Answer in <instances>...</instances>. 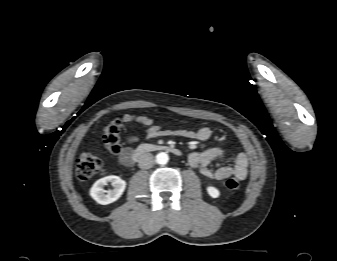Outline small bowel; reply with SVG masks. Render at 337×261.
<instances>
[{
  "label": "small bowel",
  "mask_w": 337,
  "mask_h": 261,
  "mask_svg": "<svg viewBox=\"0 0 337 261\" xmlns=\"http://www.w3.org/2000/svg\"><path fill=\"white\" fill-rule=\"evenodd\" d=\"M123 121L125 123L137 122L146 126L145 138L147 139L173 135L187 139L206 141L212 134L209 127H201L197 130L166 131L162 127L155 125L151 118L143 115L125 114ZM125 141L127 146L121 152L119 159L122 164L129 165L131 163L133 145L139 141V138L134 135H125ZM231 155L232 152L229 149L213 147L202 152H191L188 155V162L191 167L197 169L198 172L206 178L224 180L235 176L239 180H244L248 174V158L243 152L234 155V164L232 166H221L217 169L210 168L209 165L213 160Z\"/></svg>",
  "instance_id": "1"
}]
</instances>
